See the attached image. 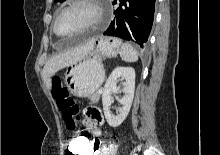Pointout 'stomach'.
<instances>
[{"mask_svg":"<svg viewBox=\"0 0 220 155\" xmlns=\"http://www.w3.org/2000/svg\"><path fill=\"white\" fill-rule=\"evenodd\" d=\"M120 46V40L102 37L98 40L97 45L93 43L87 56L79 62L69 65L65 74V83L70 94L79 98H90L96 94L105 77L101 56H117Z\"/></svg>","mask_w":220,"mask_h":155,"instance_id":"obj_1","label":"stomach"}]
</instances>
